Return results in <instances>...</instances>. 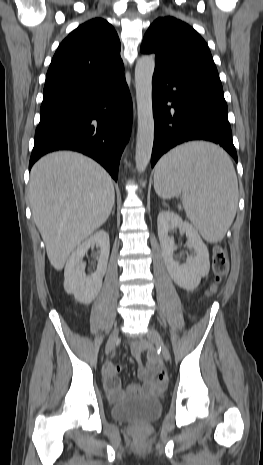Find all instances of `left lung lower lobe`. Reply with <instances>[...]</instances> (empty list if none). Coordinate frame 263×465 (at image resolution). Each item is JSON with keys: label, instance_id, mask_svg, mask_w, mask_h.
<instances>
[{"label": "left lung lower lobe", "instance_id": "left-lung-lower-lobe-1", "mask_svg": "<svg viewBox=\"0 0 263 465\" xmlns=\"http://www.w3.org/2000/svg\"><path fill=\"white\" fill-rule=\"evenodd\" d=\"M152 98L155 118L152 167L171 148L192 140L219 144L237 162L220 80L204 73L156 65Z\"/></svg>", "mask_w": 263, "mask_h": 465}]
</instances>
